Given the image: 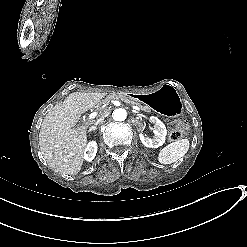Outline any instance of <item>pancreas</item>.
Listing matches in <instances>:
<instances>
[{"label":"pancreas","instance_id":"pancreas-1","mask_svg":"<svg viewBox=\"0 0 247 247\" xmlns=\"http://www.w3.org/2000/svg\"><path fill=\"white\" fill-rule=\"evenodd\" d=\"M115 96H117V99H122V100H128V101H130V103H133L135 106L140 107L141 110H143V111H149V108H148V104L147 103H142V101H137V99H133L132 97H130L128 95H125V94L114 93V94L106 95L104 97V99L101 100V103H104L109 98L110 99H115Z\"/></svg>","mask_w":247,"mask_h":247}]
</instances>
